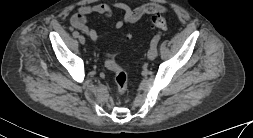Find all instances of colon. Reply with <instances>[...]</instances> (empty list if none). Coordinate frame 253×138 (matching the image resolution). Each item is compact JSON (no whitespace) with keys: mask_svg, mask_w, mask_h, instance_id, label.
I'll use <instances>...</instances> for the list:
<instances>
[{"mask_svg":"<svg viewBox=\"0 0 253 138\" xmlns=\"http://www.w3.org/2000/svg\"><path fill=\"white\" fill-rule=\"evenodd\" d=\"M150 24L153 28L165 31L168 29L167 20L160 14L150 17ZM105 66L114 73V81L119 94H124L127 89L128 77L125 70L115 61L114 55L108 54L105 59Z\"/></svg>","mask_w":253,"mask_h":138,"instance_id":"5ec220e1","label":"colon"}]
</instances>
